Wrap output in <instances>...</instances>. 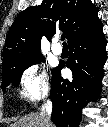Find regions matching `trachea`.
Segmentation results:
<instances>
[{
	"mask_svg": "<svg viewBox=\"0 0 108 127\" xmlns=\"http://www.w3.org/2000/svg\"><path fill=\"white\" fill-rule=\"evenodd\" d=\"M65 37H66L65 34H62V35H61V40L63 41V44H64V45H66Z\"/></svg>",
	"mask_w": 108,
	"mask_h": 127,
	"instance_id": "trachea-1",
	"label": "trachea"
}]
</instances>
